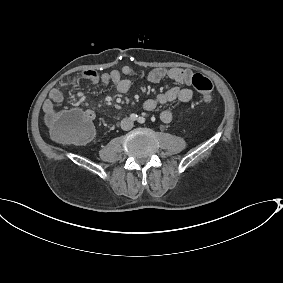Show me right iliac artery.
<instances>
[{"label": "right iliac artery", "instance_id": "obj_1", "mask_svg": "<svg viewBox=\"0 0 283 283\" xmlns=\"http://www.w3.org/2000/svg\"><path fill=\"white\" fill-rule=\"evenodd\" d=\"M130 119L135 121L137 119V115L134 113L130 114Z\"/></svg>", "mask_w": 283, "mask_h": 283}]
</instances>
